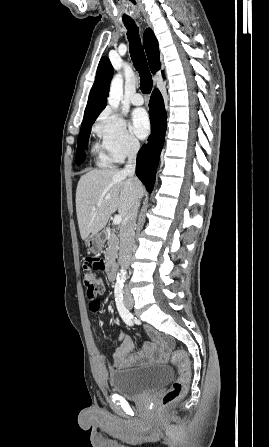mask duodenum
<instances>
[{"label": "duodenum", "mask_w": 269, "mask_h": 447, "mask_svg": "<svg viewBox=\"0 0 269 447\" xmlns=\"http://www.w3.org/2000/svg\"><path fill=\"white\" fill-rule=\"evenodd\" d=\"M107 277L110 281L116 279V266L113 262H109L106 266Z\"/></svg>", "instance_id": "410a0bca"}]
</instances>
